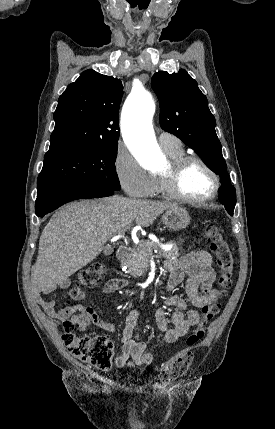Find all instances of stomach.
<instances>
[{
	"mask_svg": "<svg viewBox=\"0 0 275 429\" xmlns=\"http://www.w3.org/2000/svg\"><path fill=\"white\" fill-rule=\"evenodd\" d=\"M165 226L178 231L186 228L190 223V216L185 208L175 206L168 208L162 215Z\"/></svg>",
	"mask_w": 275,
	"mask_h": 429,
	"instance_id": "obj_1",
	"label": "stomach"
}]
</instances>
